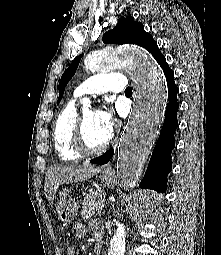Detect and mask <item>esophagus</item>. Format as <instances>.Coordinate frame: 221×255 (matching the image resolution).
Segmentation results:
<instances>
[{
    "instance_id": "34e87169",
    "label": "esophagus",
    "mask_w": 221,
    "mask_h": 255,
    "mask_svg": "<svg viewBox=\"0 0 221 255\" xmlns=\"http://www.w3.org/2000/svg\"><path fill=\"white\" fill-rule=\"evenodd\" d=\"M104 171L111 172V171H112V166H111V164H107V165L104 167Z\"/></svg>"
}]
</instances>
